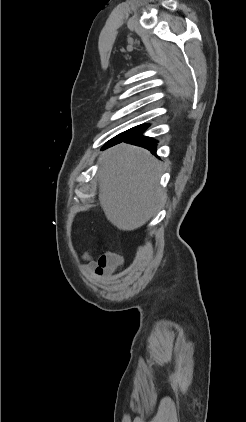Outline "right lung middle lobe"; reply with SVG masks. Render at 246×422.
I'll return each mask as SVG.
<instances>
[{
    "label": "right lung middle lobe",
    "mask_w": 246,
    "mask_h": 422,
    "mask_svg": "<svg viewBox=\"0 0 246 422\" xmlns=\"http://www.w3.org/2000/svg\"><path fill=\"white\" fill-rule=\"evenodd\" d=\"M147 127H148V125H139V126L133 127L131 129L123 132V133H120L119 135L115 136L114 138H112L110 141H108L105 144V146L112 144V143H115V142L123 141V140L137 134L138 132L146 129Z\"/></svg>",
    "instance_id": "obj_1"
}]
</instances>
